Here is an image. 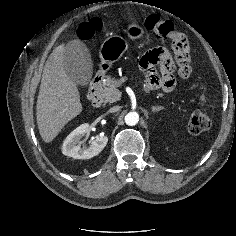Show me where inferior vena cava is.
Masks as SVG:
<instances>
[{"instance_id":"inferior-vena-cava-1","label":"inferior vena cava","mask_w":236,"mask_h":236,"mask_svg":"<svg viewBox=\"0 0 236 236\" xmlns=\"http://www.w3.org/2000/svg\"><path fill=\"white\" fill-rule=\"evenodd\" d=\"M120 107L119 106H113L112 108H110L109 112H117L119 111Z\"/></svg>"}]
</instances>
